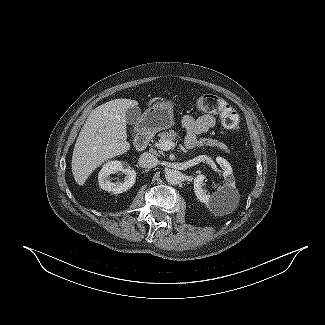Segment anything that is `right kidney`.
Here are the masks:
<instances>
[{
  "mask_svg": "<svg viewBox=\"0 0 325 325\" xmlns=\"http://www.w3.org/2000/svg\"><path fill=\"white\" fill-rule=\"evenodd\" d=\"M118 171L123 172L126 176L124 182L113 183L109 180V175ZM136 180V172L130 166L121 161H109L103 165L98 175L99 186L108 192L119 194L130 189Z\"/></svg>",
  "mask_w": 325,
  "mask_h": 325,
  "instance_id": "obj_1",
  "label": "right kidney"
}]
</instances>
